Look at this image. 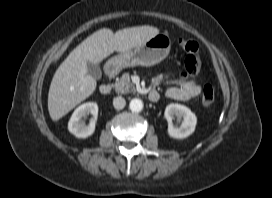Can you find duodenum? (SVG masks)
<instances>
[{
	"label": "duodenum",
	"instance_id": "obj_1",
	"mask_svg": "<svg viewBox=\"0 0 272 198\" xmlns=\"http://www.w3.org/2000/svg\"><path fill=\"white\" fill-rule=\"evenodd\" d=\"M106 73L110 79H113V78H115V76L117 74V69L114 66H110L107 68ZM111 91H112V87L110 84H103L99 88V92L102 95H108L111 93ZM148 98L150 101H157L158 100V92L155 89L150 90L148 93Z\"/></svg>",
	"mask_w": 272,
	"mask_h": 198
}]
</instances>
